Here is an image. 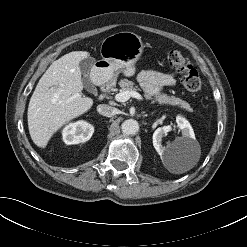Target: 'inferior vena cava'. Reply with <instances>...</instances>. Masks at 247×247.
Wrapping results in <instances>:
<instances>
[{"label":"inferior vena cava","mask_w":247,"mask_h":247,"mask_svg":"<svg viewBox=\"0 0 247 247\" xmlns=\"http://www.w3.org/2000/svg\"><path fill=\"white\" fill-rule=\"evenodd\" d=\"M97 111L99 112V114L106 116V117H112L115 114H117V109L107 104L98 105Z\"/></svg>","instance_id":"inferior-vena-cava-1"}]
</instances>
